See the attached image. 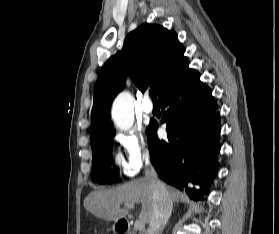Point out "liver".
Masks as SVG:
<instances>
[{"instance_id":"obj_1","label":"liver","mask_w":279,"mask_h":234,"mask_svg":"<svg viewBox=\"0 0 279 234\" xmlns=\"http://www.w3.org/2000/svg\"><path fill=\"white\" fill-rule=\"evenodd\" d=\"M172 202H179L184 194L173 187H167ZM125 203H141L139 219L149 223L153 214V188L147 179H137L108 190L94 191L84 200L87 211L99 219L118 222L129 215L128 208H120Z\"/></svg>"}]
</instances>
